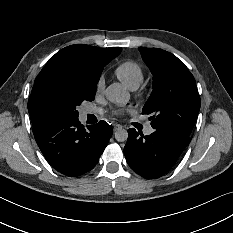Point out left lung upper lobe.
<instances>
[{"label": "left lung upper lobe", "instance_id": "5c2ea615", "mask_svg": "<svg viewBox=\"0 0 233 233\" xmlns=\"http://www.w3.org/2000/svg\"><path fill=\"white\" fill-rule=\"evenodd\" d=\"M153 74V91L142 114L155 131L190 136L201 100L195 79L188 68L172 53L158 48H139Z\"/></svg>", "mask_w": 233, "mask_h": 233}]
</instances>
